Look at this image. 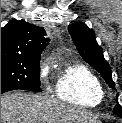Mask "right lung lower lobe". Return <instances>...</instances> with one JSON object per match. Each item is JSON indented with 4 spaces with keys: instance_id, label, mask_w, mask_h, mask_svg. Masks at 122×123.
<instances>
[{
    "instance_id": "right-lung-lower-lobe-1",
    "label": "right lung lower lobe",
    "mask_w": 122,
    "mask_h": 123,
    "mask_svg": "<svg viewBox=\"0 0 122 123\" xmlns=\"http://www.w3.org/2000/svg\"><path fill=\"white\" fill-rule=\"evenodd\" d=\"M11 90H16V89H12V88H1V94L4 93V92L11 91Z\"/></svg>"
}]
</instances>
